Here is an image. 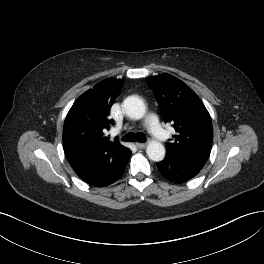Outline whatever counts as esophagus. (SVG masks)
<instances>
[{
  "instance_id": "esophagus-1",
  "label": "esophagus",
  "mask_w": 264,
  "mask_h": 264,
  "mask_svg": "<svg viewBox=\"0 0 264 264\" xmlns=\"http://www.w3.org/2000/svg\"><path fill=\"white\" fill-rule=\"evenodd\" d=\"M136 146L139 148V149H143L146 147V143H140V142H137L136 143Z\"/></svg>"
}]
</instances>
